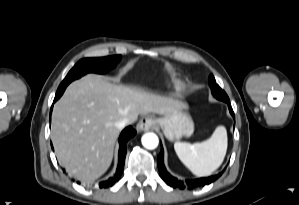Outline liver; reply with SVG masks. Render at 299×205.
<instances>
[{
  "label": "liver",
  "instance_id": "1",
  "mask_svg": "<svg viewBox=\"0 0 299 205\" xmlns=\"http://www.w3.org/2000/svg\"><path fill=\"white\" fill-rule=\"evenodd\" d=\"M182 104L172 97L113 84L97 74L72 82L52 113V142L66 171L82 182L99 178L109 168L119 134L116 122L139 114L171 115Z\"/></svg>",
  "mask_w": 299,
  "mask_h": 205
}]
</instances>
